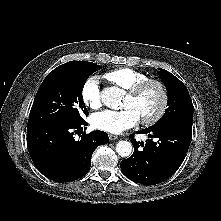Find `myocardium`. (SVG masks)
Listing matches in <instances>:
<instances>
[{"mask_svg":"<svg viewBox=\"0 0 221 221\" xmlns=\"http://www.w3.org/2000/svg\"><path fill=\"white\" fill-rule=\"evenodd\" d=\"M156 86L161 94V102L157 111L150 117L142 118L141 123L143 125H153L157 123L165 114L168 103H169V93L166 85L158 79L147 78L134 86H132L129 90H127V95L132 98L138 97L146 88L149 86Z\"/></svg>","mask_w":221,"mask_h":221,"instance_id":"1","label":"myocardium"}]
</instances>
